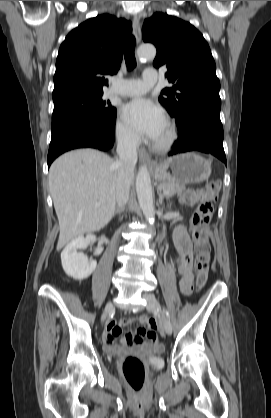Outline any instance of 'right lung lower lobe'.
<instances>
[{
	"mask_svg": "<svg viewBox=\"0 0 271 418\" xmlns=\"http://www.w3.org/2000/svg\"><path fill=\"white\" fill-rule=\"evenodd\" d=\"M115 119L90 117L70 120L53 126L47 158L48 167L56 157L72 149L112 150Z\"/></svg>",
	"mask_w": 271,
	"mask_h": 418,
	"instance_id": "98d812e1",
	"label": "right lung lower lobe"
}]
</instances>
